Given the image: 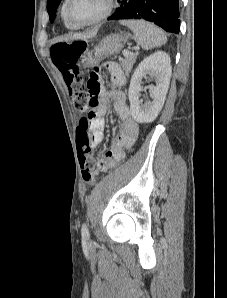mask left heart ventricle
<instances>
[{"mask_svg":"<svg viewBox=\"0 0 227 298\" xmlns=\"http://www.w3.org/2000/svg\"><path fill=\"white\" fill-rule=\"evenodd\" d=\"M105 0H71L69 13L77 22H87L97 17L104 9Z\"/></svg>","mask_w":227,"mask_h":298,"instance_id":"1","label":"left heart ventricle"}]
</instances>
